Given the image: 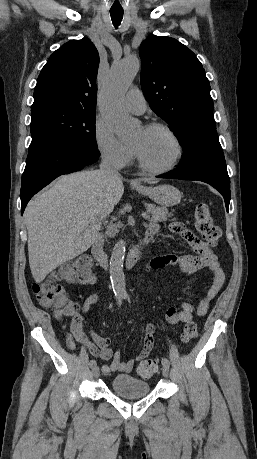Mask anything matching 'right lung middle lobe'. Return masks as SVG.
<instances>
[{
  "label": "right lung middle lobe",
  "mask_w": 257,
  "mask_h": 459,
  "mask_svg": "<svg viewBox=\"0 0 257 459\" xmlns=\"http://www.w3.org/2000/svg\"><path fill=\"white\" fill-rule=\"evenodd\" d=\"M31 113L30 146L71 144L99 155L95 134V111L72 107H49Z\"/></svg>",
  "instance_id": "right-lung-middle-lobe-1"
}]
</instances>
